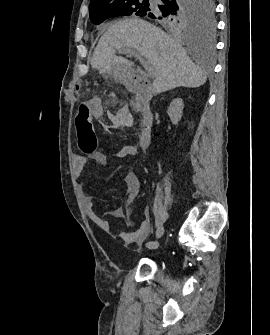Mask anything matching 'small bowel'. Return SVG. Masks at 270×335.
<instances>
[{"label": "small bowel", "instance_id": "small-bowel-1", "mask_svg": "<svg viewBox=\"0 0 270 335\" xmlns=\"http://www.w3.org/2000/svg\"><path fill=\"white\" fill-rule=\"evenodd\" d=\"M88 106L92 110V115L94 118L99 119L103 116V111L97 107V101L96 100H90L88 101ZM137 154V148L134 145H125L123 146L120 151L117 153L116 158L117 159H123L126 157H132ZM106 156L97 153L92 156H86L78 154L75 156L74 159V169L76 175L79 177L83 173L86 165L92 161H100L105 162ZM124 182L126 185V190L123 196L124 206L120 209L113 210L110 212V215L116 218H127L128 212L130 210V207L137 199L140 190H141V182L137 175V173L134 170H129L124 177ZM84 205L85 210L87 213V216L89 219L102 231L106 233H111V225L108 220L100 217L95 209V205L92 201L91 195L89 193H84ZM145 219L139 224V226L131 232H121L119 234L122 241L126 244L131 243H139L145 240L149 233H150V222H149V212L148 210H145Z\"/></svg>", "mask_w": 270, "mask_h": 335}]
</instances>
